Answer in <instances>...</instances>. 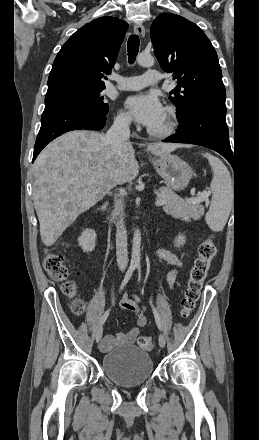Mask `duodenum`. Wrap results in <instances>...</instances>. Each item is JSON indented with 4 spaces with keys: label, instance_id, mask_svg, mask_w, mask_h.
<instances>
[{
    "label": "duodenum",
    "instance_id": "duodenum-1",
    "mask_svg": "<svg viewBox=\"0 0 259 440\" xmlns=\"http://www.w3.org/2000/svg\"><path fill=\"white\" fill-rule=\"evenodd\" d=\"M104 209H105V205L100 208V211H103Z\"/></svg>",
    "mask_w": 259,
    "mask_h": 440
}]
</instances>
